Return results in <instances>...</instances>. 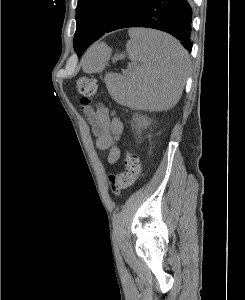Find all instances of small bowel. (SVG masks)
<instances>
[{
  "instance_id": "obj_1",
  "label": "small bowel",
  "mask_w": 245,
  "mask_h": 300,
  "mask_svg": "<svg viewBox=\"0 0 245 300\" xmlns=\"http://www.w3.org/2000/svg\"><path fill=\"white\" fill-rule=\"evenodd\" d=\"M81 110L91 125L92 132L96 137L97 148L107 150L108 163L116 164L120 157L118 142L124 131L122 121L104 105L97 110L90 106H82Z\"/></svg>"
}]
</instances>
